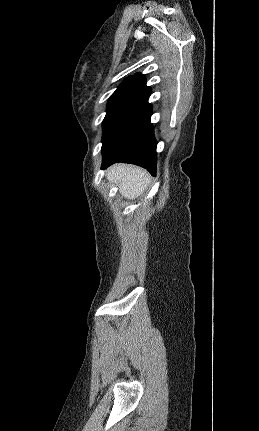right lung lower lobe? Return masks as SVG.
<instances>
[{
    "label": "right lung lower lobe",
    "instance_id": "obj_1",
    "mask_svg": "<svg viewBox=\"0 0 259 431\" xmlns=\"http://www.w3.org/2000/svg\"><path fill=\"white\" fill-rule=\"evenodd\" d=\"M152 106L148 98L135 106L103 141L101 168L125 162L156 173V145L153 125L150 122Z\"/></svg>",
    "mask_w": 259,
    "mask_h": 431
}]
</instances>
